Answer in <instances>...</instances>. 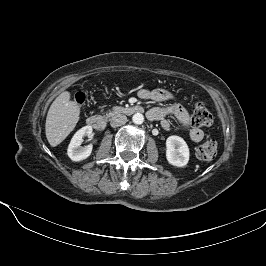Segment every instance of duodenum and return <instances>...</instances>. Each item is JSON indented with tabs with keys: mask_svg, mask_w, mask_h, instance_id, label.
I'll return each mask as SVG.
<instances>
[{
	"mask_svg": "<svg viewBox=\"0 0 266 266\" xmlns=\"http://www.w3.org/2000/svg\"><path fill=\"white\" fill-rule=\"evenodd\" d=\"M142 112H143V108L139 105H133V106H128V107H117V108L112 109L106 114L90 116L87 119V123L93 129L102 131L105 129L107 125L108 118L112 115H115L118 113L133 115V114L142 113Z\"/></svg>",
	"mask_w": 266,
	"mask_h": 266,
	"instance_id": "410a0bca",
	"label": "duodenum"
}]
</instances>
